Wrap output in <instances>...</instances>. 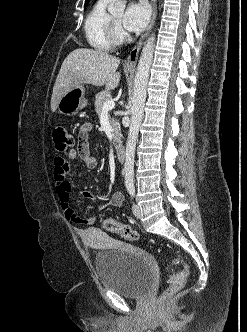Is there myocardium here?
I'll use <instances>...</instances> for the list:
<instances>
[{
    "instance_id": "obj_1",
    "label": "myocardium",
    "mask_w": 247,
    "mask_h": 332,
    "mask_svg": "<svg viewBox=\"0 0 247 332\" xmlns=\"http://www.w3.org/2000/svg\"><path fill=\"white\" fill-rule=\"evenodd\" d=\"M106 34L110 43L114 46L122 45L129 40V35L126 32H119L111 15H109L107 19Z\"/></svg>"
}]
</instances>
